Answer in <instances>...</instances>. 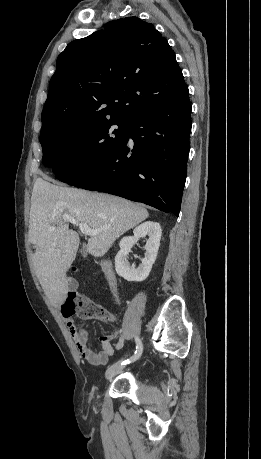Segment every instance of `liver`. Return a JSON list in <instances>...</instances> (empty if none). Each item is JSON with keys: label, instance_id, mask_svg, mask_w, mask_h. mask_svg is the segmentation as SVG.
Returning <instances> with one entry per match:
<instances>
[{"label": "liver", "instance_id": "liver-1", "mask_svg": "<svg viewBox=\"0 0 261 459\" xmlns=\"http://www.w3.org/2000/svg\"><path fill=\"white\" fill-rule=\"evenodd\" d=\"M68 214L97 233L90 235L86 250L104 256L125 232L148 218L141 205L110 194L51 184L37 178L31 198L29 240L34 245V267L46 295L60 305L69 291L66 273L80 244L62 216Z\"/></svg>", "mask_w": 261, "mask_h": 459}]
</instances>
